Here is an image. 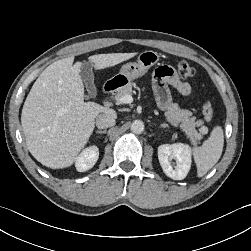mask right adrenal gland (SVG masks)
Instances as JSON below:
<instances>
[{"mask_svg": "<svg viewBox=\"0 0 251 251\" xmlns=\"http://www.w3.org/2000/svg\"><path fill=\"white\" fill-rule=\"evenodd\" d=\"M96 134H106V130H97Z\"/></svg>", "mask_w": 251, "mask_h": 251, "instance_id": "1", "label": "right adrenal gland"}]
</instances>
